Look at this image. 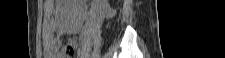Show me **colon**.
<instances>
[{
	"instance_id": "obj_1",
	"label": "colon",
	"mask_w": 225,
	"mask_h": 58,
	"mask_svg": "<svg viewBox=\"0 0 225 58\" xmlns=\"http://www.w3.org/2000/svg\"><path fill=\"white\" fill-rule=\"evenodd\" d=\"M76 52H77V47L75 44H73V43L67 44L63 48L62 56L64 58H71L76 54Z\"/></svg>"
}]
</instances>
